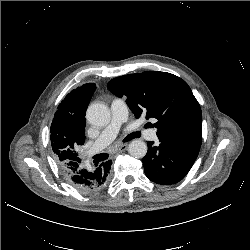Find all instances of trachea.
I'll use <instances>...</instances> for the list:
<instances>
[{
	"instance_id": "obj_1",
	"label": "trachea",
	"mask_w": 250,
	"mask_h": 250,
	"mask_svg": "<svg viewBox=\"0 0 250 250\" xmlns=\"http://www.w3.org/2000/svg\"><path fill=\"white\" fill-rule=\"evenodd\" d=\"M140 137V134L139 132H133L131 134H129L125 139H124V142H127V141H130L134 138H139ZM105 158L108 156L106 154H104Z\"/></svg>"
}]
</instances>
